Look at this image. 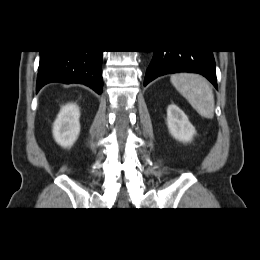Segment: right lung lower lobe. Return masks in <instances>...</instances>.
Here are the masks:
<instances>
[{
    "label": "right lung lower lobe",
    "instance_id": "obj_1",
    "mask_svg": "<svg viewBox=\"0 0 260 260\" xmlns=\"http://www.w3.org/2000/svg\"><path fill=\"white\" fill-rule=\"evenodd\" d=\"M102 52L40 51L38 92L51 82L81 83L102 93Z\"/></svg>",
    "mask_w": 260,
    "mask_h": 260
}]
</instances>
